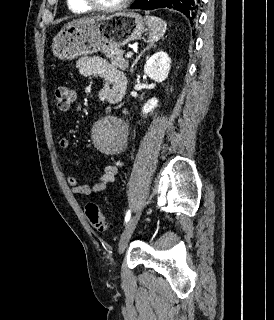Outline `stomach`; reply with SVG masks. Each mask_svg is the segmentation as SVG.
I'll list each match as a JSON object with an SVG mask.
<instances>
[{
	"mask_svg": "<svg viewBox=\"0 0 274 320\" xmlns=\"http://www.w3.org/2000/svg\"><path fill=\"white\" fill-rule=\"evenodd\" d=\"M147 24L135 12H117L68 24L55 36L52 52L58 60H75L79 56L97 54L107 48H120L132 40H140Z\"/></svg>",
	"mask_w": 274,
	"mask_h": 320,
	"instance_id": "1",
	"label": "stomach"
}]
</instances>
